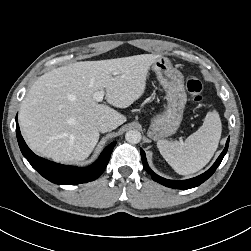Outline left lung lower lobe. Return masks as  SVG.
I'll return each instance as SVG.
<instances>
[{
	"label": "left lung lower lobe",
	"instance_id": "obj_1",
	"mask_svg": "<svg viewBox=\"0 0 251 251\" xmlns=\"http://www.w3.org/2000/svg\"><path fill=\"white\" fill-rule=\"evenodd\" d=\"M228 145H229V138L226 142V146H225L223 152L220 154V156L218 157L216 162L213 164V166L209 170H207L205 173H203L197 177L191 178V179L179 180V181L168 180V179L162 178V177L158 176L157 174H155L148 166L144 151L141 149L140 152H141L143 166H144L145 170L151 175V178L154 181H156L166 187L185 190V189H190V188H194V187L199 186L215 172V170L220 165L223 157L225 156V154L227 152Z\"/></svg>",
	"mask_w": 251,
	"mask_h": 251
}]
</instances>
